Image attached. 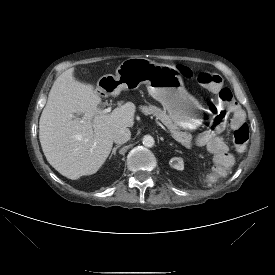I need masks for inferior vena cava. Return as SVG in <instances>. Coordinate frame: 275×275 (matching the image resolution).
I'll return each mask as SVG.
<instances>
[{"label":"inferior vena cava","instance_id":"602c4592","mask_svg":"<svg viewBox=\"0 0 275 275\" xmlns=\"http://www.w3.org/2000/svg\"><path fill=\"white\" fill-rule=\"evenodd\" d=\"M131 137V132L128 128H120L114 132L113 141L117 144L126 143Z\"/></svg>","mask_w":275,"mask_h":275}]
</instances>
